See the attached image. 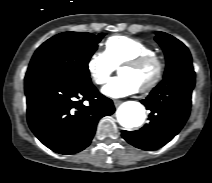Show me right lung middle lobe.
Wrapping results in <instances>:
<instances>
[{"label": "right lung middle lobe", "mask_w": 212, "mask_h": 183, "mask_svg": "<svg viewBox=\"0 0 212 183\" xmlns=\"http://www.w3.org/2000/svg\"><path fill=\"white\" fill-rule=\"evenodd\" d=\"M104 35L64 32L48 39L34 53L26 75L89 78L88 62Z\"/></svg>", "instance_id": "1"}]
</instances>
